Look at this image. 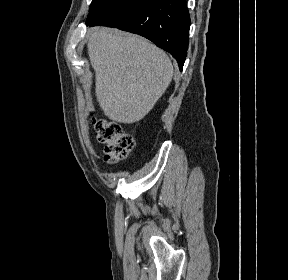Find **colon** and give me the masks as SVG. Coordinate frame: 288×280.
Segmentation results:
<instances>
[{
    "label": "colon",
    "instance_id": "5ec220e1",
    "mask_svg": "<svg viewBox=\"0 0 288 280\" xmlns=\"http://www.w3.org/2000/svg\"><path fill=\"white\" fill-rule=\"evenodd\" d=\"M92 124L97 140L105 146V160L110 164L125 160L134 147V138L115 123L94 119Z\"/></svg>",
    "mask_w": 288,
    "mask_h": 280
}]
</instances>
